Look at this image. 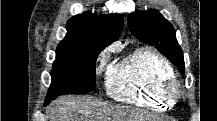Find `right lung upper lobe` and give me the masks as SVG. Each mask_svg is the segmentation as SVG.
<instances>
[{"label": "right lung upper lobe", "mask_w": 217, "mask_h": 121, "mask_svg": "<svg viewBox=\"0 0 217 121\" xmlns=\"http://www.w3.org/2000/svg\"><path fill=\"white\" fill-rule=\"evenodd\" d=\"M122 28V15H97L88 11L68 20V32L59 45L96 43L104 49L120 37Z\"/></svg>", "instance_id": "cb5924a9"}]
</instances>
